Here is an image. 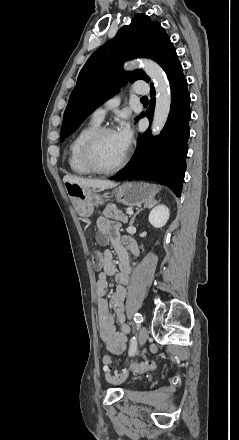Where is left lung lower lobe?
Masks as SVG:
<instances>
[{
	"instance_id": "1",
	"label": "left lung lower lobe",
	"mask_w": 239,
	"mask_h": 440,
	"mask_svg": "<svg viewBox=\"0 0 239 440\" xmlns=\"http://www.w3.org/2000/svg\"><path fill=\"white\" fill-rule=\"evenodd\" d=\"M162 68L168 74L171 87V109L161 134L152 137L149 130L138 136V148L131 163L112 180L125 178L155 179L170 183L177 196H180L186 169L189 120L191 118L190 94L187 80L178 60L175 48L168 53ZM151 100L146 114L152 120L155 107V89L151 85Z\"/></svg>"
}]
</instances>
